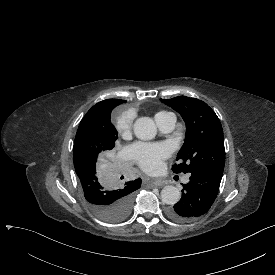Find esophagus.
I'll use <instances>...</instances> for the list:
<instances>
[{"mask_svg":"<svg viewBox=\"0 0 275 275\" xmlns=\"http://www.w3.org/2000/svg\"><path fill=\"white\" fill-rule=\"evenodd\" d=\"M153 184H154L155 186L160 187V186H162V185L164 184V181H163L162 179H160V178H155V179L153 180Z\"/></svg>","mask_w":275,"mask_h":275,"instance_id":"esophagus-1","label":"esophagus"}]
</instances>
